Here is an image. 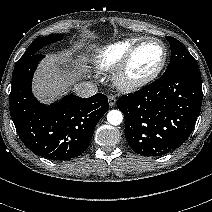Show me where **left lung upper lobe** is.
<instances>
[{"label": "left lung upper lobe", "mask_w": 212, "mask_h": 212, "mask_svg": "<svg viewBox=\"0 0 212 212\" xmlns=\"http://www.w3.org/2000/svg\"><path fill=\"white\" fill-rule=\"evenodd\" d=\"M171 48V60L163 75L170 74L182 68L198 66L193 56L175 38L167 36Z\"/></svg>", "instance_id": "obj_1"}]
</instances>
